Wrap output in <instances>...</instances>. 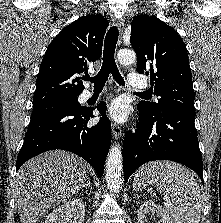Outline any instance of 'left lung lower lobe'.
<instances>
[{
  "label": "left lung lower lobe",
  "mask_w": 221,
  "mask_h": 223,
  "mask_svg": "<svg viewBox=\"0 0 221 223\" xmlns=\"http://www.w3.org/2000/svg\"><path fill=\"white\" fill-rule=\"evenodd\" d=\"M139 110L137 130L128 131L123 147L124 180L142 164L171 160L194 170L203 181V163L194 124L195 115L170 111L150 116Z\"/></svg>",
  "instance_id": "left-lung-lower-lobe-1"
}]
</instances>
